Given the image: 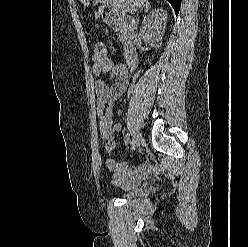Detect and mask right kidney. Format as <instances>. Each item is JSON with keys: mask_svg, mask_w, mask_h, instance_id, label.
I'll use <instances>...</instances> for the list:
<instances>
[{"mask_svg": "<svg viewBox=\"0 0 248 247\" xmlns=\"http://www.w3.org/2000/svg\"><path fill=\"white\" fill-rule=\"evenodd\" d=\"M167 11L154 9L143 20L140 28V36L144 42L157 49L162 45V39L166 27Z\"/></svg>", "mask_w": 248, "mask_h": 247, "instance_id": "obj_1", "label": "right kidney"}]
</instances>
